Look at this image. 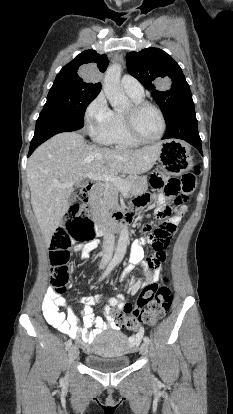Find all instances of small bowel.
<instances>
[{
  "instance_id": "small-bowel-1",
  "label": "small bowel",
  "mask_w": 233,
  "mask_h": 414,
  "mask_svg": "<svg viewBox=\"0 0 233 414\" xmlns=\"http://www.w3.org/2000/svg\"><path fill=\"white\" fill-rule=\"evenodd\" d=\"M148 198L139 197L136 199V207L146 208L148 206ZM156 204L158 206V216L161 218L167 217L170 214V210L165 207V197L163 195L156 196ZM187 212V206L181 205L176 208L174 214L168 219L165 224H172L176 226L184 214ZM98 245L97 240H93L84 245H78L75 247V251L80 253L82 260H85L89 256V252ZM165 253V252H164ZM143 257V250L138 242L133 243L131 248V265H135L141 261ZM161 263L154 269L150 270L144 264V280L138 278L133 284H128L126 289L129 290L131 295H136L144 287L155 284L159 280ZM129 267L125 270L124 276L127 275ZM80 286H85V278H80ZM115 288L114 286L112 287ZM69 289H74V284H69ZM47 294L44 295L42 300V311L46 321L58 329L60 332L69 335L74 340L78 341L84 348H89L94 342L96 336L108 327H115L113 318L110 316L112 311L123 310L126 302L123 294L118 293L115 297L108 300L107 305L101 306L103 314L101 317H95L94 306L100 302V296H88L81 298L78 301L83 304L82 318L80 326V320L75 315L73 310L67 307L66 302L62 296L57 294H51V292H57V289H47ZM65 309V310H63ZM143 328L141 327L137 334L131 338V343H135L141 338Z\"/></svg>"
}]
</instances>
